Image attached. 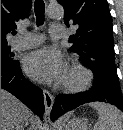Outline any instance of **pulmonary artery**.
Wrapping results in <instances>:
<instances>
[{
    "mask_svg": "<svg viewBox=\"0 0 123 130\" xmlns=\"http://www.w3.org/2000/svg\"><path fill=\"white\" fill-rule=\"evenodd\" d=\"M65 31L61 24H52L50 27V36L54 39H61L64 37ZM44 40L43 35L36 33H27L21 35L11 44L14 50H24L40 45Z\"/></svg>",
    "mask_w": 123,
    "mask_h": 130,
    "instance_id": "e3ab8cb5",
    "label": "pulmonary artery"
}]
</instances>
